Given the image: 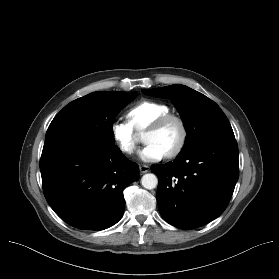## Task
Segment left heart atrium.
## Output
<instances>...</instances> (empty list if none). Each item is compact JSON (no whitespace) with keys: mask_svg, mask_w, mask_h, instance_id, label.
Wrapping results in <instances>:
<instances>
[{"mask_svg":"<svg viewBox=\"0 0 279 279\" xmlns=\"http://www.w3.org/2000/svg\"><path fill=\"white\" fill-rule=\"evenodd\" d=\"M165 156V153L155 144H146L144 149L140 152V157L144 161L153 162L159 161Z\"/></svg>","mask_w":279,"mask_h":279,"instance_id":"39dd6f15","label":"left heart atrium"}]
</instances>
